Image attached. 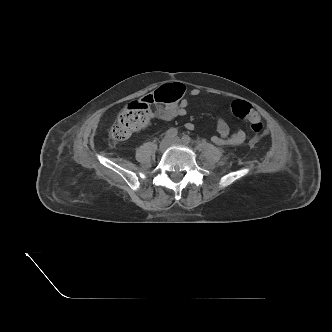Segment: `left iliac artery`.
I'll use <instances>...</instances> for the list:
<instances>
[{
  "label": "left iliac artery",
  "mask_w": 332,
  "mask_h": 332,
  "mask_svg": "<svg viewBox=\"0 0 332 332\" xmlns=\"http://www.w3.org/2000/svg\"><path fill=\"white\" fill-rule=\"evenodd\" d=\"M182 141L185 144H189L191 142V138L188 135H184V136H182Z\"/></svg>",
  "instance_id": "left-iliac-artery-1"
}]
</instances>
